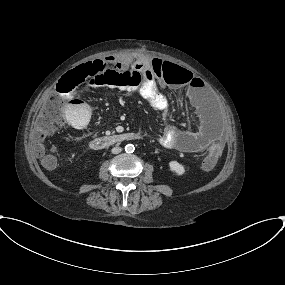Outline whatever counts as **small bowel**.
Listing matches in <instances>:
<instances>
[{
  "label": "small bowel",
  "mask_w": 285,
  "mask_h": 285,
  "mask_svg": "<svg viewBox=\"0 0 285 285\" xmlns=\"http://www.w3.org/2000/svg\"><path fill=\"white\" fill-rule=\"evenodd\" d=\"M121 69H127L131 66L135 70L144 73V82L141 88V95L149 102L151 107L159 111L164 119H168L170 100L156 86V80L161 77L165 62L161 59H139L133 61L129 58H116ZM187 71V70H186ZM199 78L187 71L185 75H170L165 77L163 82L173 90L183 89L189 100L195 104L196 110L201 115L199 128L195 131L182 130L174 124L167 123L160 135L162 146L185 152L197 153L203 150L212 152L218 149L222 152L223 142L218 129L212 125L206 118ZM95 87H103L104 83L97 79L90 81ZM71 81H65L63 84L69 85ZM65 113L68 124L72 128L82 127L80 123L83 120H90V107L82 99H71L65 106Z\"/></svg>",
  "instance_id": "1"
}]
</instances>
